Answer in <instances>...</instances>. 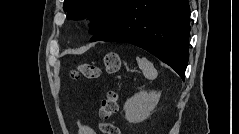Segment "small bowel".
Wrapping results in <instances>:
<instances>
[{"label": "small bowel", "instance_id": "c3829d8e", "mask_svg": "<svg viewBox=\"0 0 239 134\" xmlns=\"http://www.w3.org/2000/svg\"><path fill=\"white\" fill-rule=\"evenodd\" d=\"M79 134H95V131L88 125L80 122L79 123Z\"/></svg>", "mask_w": 239, "mask_h": 134}]
</instances>
